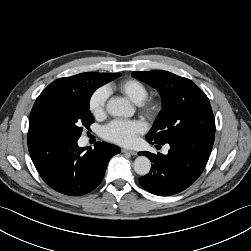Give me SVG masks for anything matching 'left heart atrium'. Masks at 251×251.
<instances>
[{
	"instance_id": "obj_1",
	"label": "left heart atrium",
	"mask_w": 251,
	"mask_h": 251,
	"mask_svg": "<svg viewBox=\"0 0 251 251\" xmlns=\"http://www.w3.org/2000/svg\"><path fill=\"white\" fill-rule=\"evenodd\" d=\"M144 130L145 125L139 120H113L104 126L102 135L108 141L129 146Z\"/></svg>"
}]
</instances>
